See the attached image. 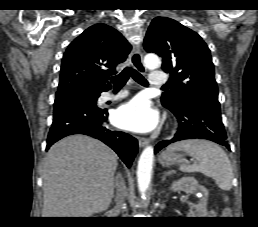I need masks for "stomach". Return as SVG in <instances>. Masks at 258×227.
I'll return each instance as SVG.
<instances>
[{
    "mask_svg": "<svg viewBox=\"0 0 258 227\" xmlns=\"http://www.w3.org/2000/svg\"><path fill=\"white\" fill-rule=\"evenodd\" d=\"M185 161L183 154L175 151H164L159 156V162L163 166H171L180 164Z\"/></svg>",
    "mask_w": 258,
    "mask_h": 227,
    "instance_id": "1",
    "label": "stomach"
}]
</instances>
